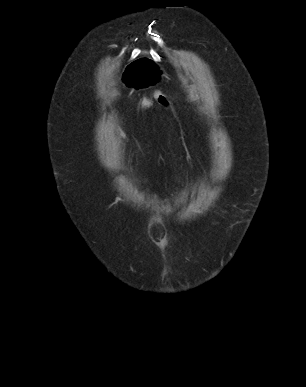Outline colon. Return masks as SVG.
Masks as SVG:
<instances>
[{
    "mask_svg": "<svg viewBox=\"0 0 306 387\" xmlns=\"http://www.w3.org/2000/svg\"><path fill=\"white\" fill-rule=\"evenodd\" d=\"M153 97L156 98V99L158 100L159 103H161V104H167V102L163 99V97L161 96V94H160L158 91L154 92ZM150 104H151V99H150V98H147V99L143 102V107L147 108V107H149Z\"/></svg>",
    "mask_w": 306,
    "mask_h": 387,
    "instance_id": "obj_1",
    "label": "colon"
}]
</instances>
